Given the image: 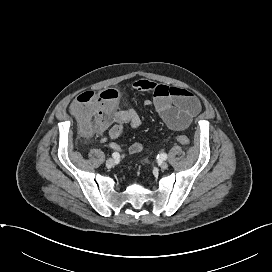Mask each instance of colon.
Listing matches in <instances>:
<instances>
[{"mask_svg": "<svg viewBox=\"0 0 272 272\" xmlns=\"http://www.w3.org/2000/svg\"><path fill=\"white\" fill-rule=\"evenodd\" d=\"M118 94L113 89L102 92L86 91L79 94L70 106L71 113L80 122L82 131L91 134L101 129L104 123L114 115ZM176 141L188 145L190 139L185 135L176 136Z\"/></svg>", "mask_w": 272, "mask_h": 272, "instance_id": "colon-1", "label": "colon"}]
</instances>
